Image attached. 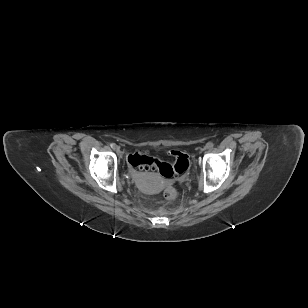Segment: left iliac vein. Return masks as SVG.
I'll return each instance as SVG.
<instances>
[{
	"mask_svg": "<svg viewBox=\"0 0 308 308\" xmlns=\"http://www.w3.org/2000/svg\"><path fill=\"white\" fill-rule=\"evenodd\" d=\"M206 149H208L207 146H205V147L203 148V150H206Z\"/></svg>",
	"mask_w": 308,
	"mask_h": 308,
	"instance_id": "obj_1",
	"label": "left iliac vein"
}]
</instances>
